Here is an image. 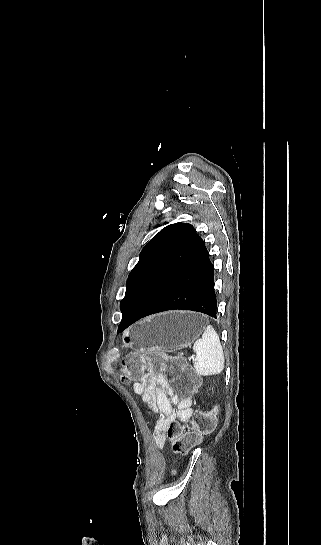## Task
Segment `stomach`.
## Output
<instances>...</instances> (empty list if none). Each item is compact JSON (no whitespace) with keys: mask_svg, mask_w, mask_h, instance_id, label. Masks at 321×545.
I'll return each mask as SVG.
<instances>
[{"mask_svg":"<svg viewBox=\"0 0 321 545\" xmlns=\"http://www.w3.org/2000/svg\"><path fill=\"white\" fill-rule=\"evenodd\" d=\"M206 321L203 315L190 311H168L151 315L122 333V347L137 353L155 349L166 353L180 351L189 347L201 335Z\"/></svg>","mask_w":321,"mask_h":545,"instance_id":"stomach-1","label":"stomach"}]
</instances>
